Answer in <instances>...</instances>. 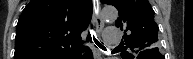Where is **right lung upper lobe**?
Wrapping results in <instances>:
<instances>
[{
  "label": "right lung upper lobe",
  "mask_w": 193,
  "mask_h": 59,
  "mask_svg": "<svg viewBox=\"0 0 193 59\" xmlns=\"http://www.w3.org/2000/svg\"><path fill=\"white\" fill-rule=\"evenodd\" d=\"M91 15L92 0H31L17 24L14 59H70Z\"/></svg>",
  "instance_id": "1"
}]
</instances>
